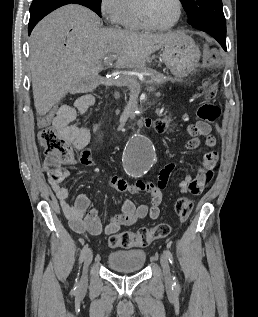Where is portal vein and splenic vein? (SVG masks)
Wrapping results in <instances>:
<instances>
[{
    "instance_id": "obj_1",
    "label": "portal vein and splenic vein",
    "mask_w": 258,
    "mask_h": 317,
    "mask_svg": "<svg viewBox=\"0 0 258 317\" xmlns=\"http://www.w3.org/2000/svg\"><path fill=\"white\" fill-rule=\"evenodd\" d=\"M111 56H113V58H117V54H111ZM105 60H110L109 64H112L110 56H105Z\"/></svg>"
}]
</instances>
